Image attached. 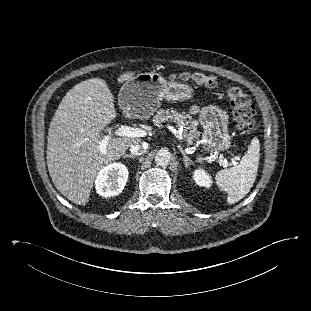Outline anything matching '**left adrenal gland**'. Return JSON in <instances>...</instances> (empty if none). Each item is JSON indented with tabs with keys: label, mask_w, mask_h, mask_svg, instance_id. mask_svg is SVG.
I'll use <instances>...</instances> for the list:
<instances>
[{
	"label": "left adrenal gland",
	"mask_w": 311,
	"mask_h": 311,
	"mask_svg": "<svg viewBox=\"0 0 311 311\" xmlns=\"http://www.w3.org/2000/svg\"><path fill=\"white\" fill-rule=\"evenodd\" d=\"M178 149L180 150V152L183 155V161H184L185 167L188 168L189 165L192 164V160L186 155L185 151L183 150V148L180 145H178Z\"/></svg>",
	"instance_id": "1"
}]
</instances>
